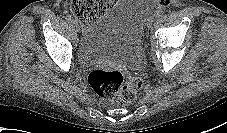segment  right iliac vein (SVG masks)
<instances>
[{
	"mask_svg": "<svg viewBox=\"0 0 227 133\" xmlns=\"http://www.w3.org/2000/svg\"><path fill=\"white\" fill-rule=\"evenodd\" d=\"M73 24H74V27H75L76 31L79 32L80 31V27H79L78 23L76 21H74Z\"/></svg>",
	"mask_w": 227,
	"mask_h": 133,
	"instance_id": "63e3f726",
	"label": "right iliac vein"
}]
</instances>
